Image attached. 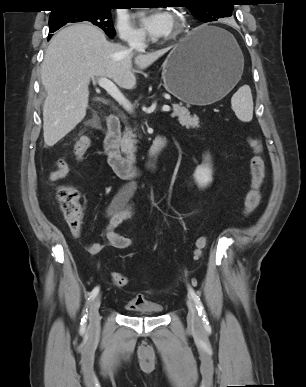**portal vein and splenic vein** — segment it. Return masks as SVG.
I'll list each match as a JSON object with an SVG mask.
<instances>
[{
  "label": "portal vein and splenic vein",
  "mask_w": 306,
  "mask_h": 387,
  "mask_svg": "<svg viewBox=\"0 0 306 387\" xmlns=\"http://www.w3.org/2000/svg\"><path fill=\"white\" fill-rule=\"evenodd\" d=\"M98 85L105 89L106 92L119 104L123 106V108L127 111H132V105L131 103L124 97V95L121 93V91L118 89V87L109 79L107 78H98L97 80ZM162 111L169 112L170 106L163 105Z\"/></svg>",
  "instance_id": "1"
}]
</instances>
